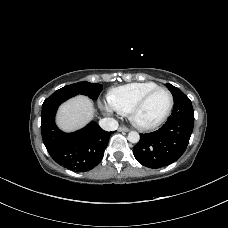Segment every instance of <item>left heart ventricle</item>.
I'll use <instances>...</instances> for the list:
<instances>
[{
	"label": "left heart ventricle",
	"instance_id": "obj_1",
	"mask_svg": "<svg viewBox=\"0 0 228 228\" xmlns=\"http://www.w3.org/2000/svg\"><path fill=\"white\" fill-rule=\"evenodd\" d=\"M169 105V96L165 91L153 94L137 114L141 124H152L158 121L166 112Z\"/></svg>",
	"mask_w": 228,
	"mask_h": 228
}]
</instances>
